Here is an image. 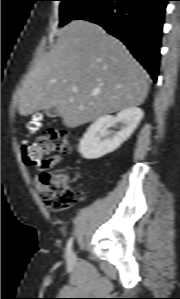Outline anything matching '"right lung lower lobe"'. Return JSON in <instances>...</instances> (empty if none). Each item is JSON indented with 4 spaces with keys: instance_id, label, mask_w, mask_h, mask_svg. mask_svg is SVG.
Wrapping results in <instances>:
<instances>
[{
    "instance_id": "right-lung-lower-lobe-1",
    "label": "right lung lower lobe",
    "mask_w": 180,
    "mask_h": 299,
    "mask_svg": "<svg viewBox=\"0 0 180 299\" xmlns=\"http://www.w3.org/2000/svg\"><path fill=\"white\" fill-rule=\"evenodd\" d=\"M167 1L102 0L77 19L96 23L120 39L156 82Z\"/></svg>"
}]
</instances>
